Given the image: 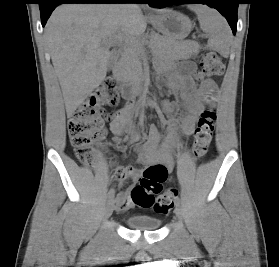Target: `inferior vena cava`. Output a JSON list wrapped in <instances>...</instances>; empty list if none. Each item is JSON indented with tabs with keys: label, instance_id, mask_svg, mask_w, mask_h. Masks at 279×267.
<instances>
[{
	"label": "inferior vena cava",
	"instance_id": "inferior-vena-cava-1",
	"mask_svg": "<svg viewBox=\"0 0 279 267\" xmlns=\"http://www.w3.org/2000/svg\"><path fill=\"white\" fill-rule=\"evenodd\" d=\"M129 7H136V5L135 4H131V5H129Z\"/></svg>",
	"mask_w": 279,
	"mask_h": 267
}]
</instances>
